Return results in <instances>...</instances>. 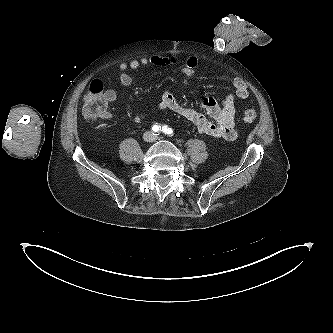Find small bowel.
Returning <instances> with one entry per match:
<instances>
[{
  "instance_id": "c3829d8e",
  "label": "small bowel",
  "mask_w": 333,
  "mask_h": 333,
  "mask_svg": "<svg viewBox=\"0 0 333 333\" xmlns=\"http://www.w3.org/2000/svg\"><path fill=\"white\" fill-rule=\"evenodd\" d=\"M147 65L166 67L169 65L179 66V69L185 75H193L198 66V60L195 57H189L181 61L174 57L151 56L141 59H133L128 62H122L119 65L120 83L124 88H129L133 83V78L129 74L130 70H137ZM232 84L235 88L233 93H229L223 100L222 105L211 97L204 98L200 107L210 117L197 112L181 102H179L169 89H165L161 95L160 102L153 110L160 112L170 110L190 121L200 133L212 137L222 138L228 141L236 139L235 130L236 100H246L249 97V91L246 83L240 78H233ZM106 102H114L118 99V93L114 89H107L104 92ZM110 113L105 114L109 118ZM145 119L144 114H138L134 117L135 123H141Z\"/></svg>"
}]
</instances>
